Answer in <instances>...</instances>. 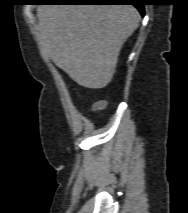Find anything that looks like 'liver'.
Returning a JSON list of instances; mask_svg holds the SVG:
<instances>
[{"label":"liver","mask_w":188,"mask_h":213,"mask_svg":"<svg viewBox=\"0 0 188 213\" xmlns=\"http://www.w3.org/2000/svg\"><path fill=\"white\" fill-rule=\"evenodd\" d=\"M45 52L80 86L106 87L141 16L132 5H39Z\"/></svg>","instance_id":"obj_1"}]
</instances>
